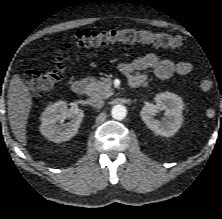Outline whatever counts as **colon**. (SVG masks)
<instances>
[{
    "instance_id": "1",
    "label": "colon",
    "mask_w": 222,
    "mask_h": 219,
    "mask_svg": "<svg viewBox=\"0 0 222 219\" xmlns=\"http://www.w3.org/2000/svg\"><path fill=\"white\" fill-rule=\"evenodd\" d=\"M113 42H143L170 49H178L184 44L182 37L167 33H153L140 29H84L76 32L70 42L65 43L57 50L54 65L50 69L28 70L24 75V81L34 94H45L52 90L63 77L66 50L72 47H95ZM213 86L214 81L211 78H203L199 82L202 92L210 91Z\"/></svg>"
}]
</instances>
